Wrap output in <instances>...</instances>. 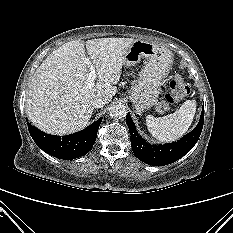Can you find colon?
Returning <instances> with one entry per match:
<instances>
[{
	"label": "colon",
	"mask_w": 233,
	"mask_h": 233,
	"mask_svg": "<svg viewBox=\"0 0 233 233\" xmlns=\"http://www.w3.org/2000/svg\"><path fill=\"white\" fill-rule=\"evenodd\" d=\"M189 93V87L184 82L182 76L176 74L171 79L166 92L156 105V109L159 112H166L170 106L176 103Z\"/></svg>",
	"instance_id": "colon-1"
}]
</instances>
